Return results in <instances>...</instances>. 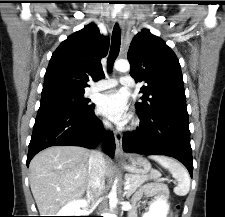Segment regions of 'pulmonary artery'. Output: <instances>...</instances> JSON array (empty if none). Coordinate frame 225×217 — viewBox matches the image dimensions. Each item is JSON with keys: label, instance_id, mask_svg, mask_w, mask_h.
<instances>
[{"label": "pulmonary artery", "instance_id": "1", "mask_svg": "<svg viewBox=\"0 0 225 217\" xmlns=\"http://www.w3.org/2000/svg\"><path fill=\"white\" fill-rule=\"evenodd\" d=\"M118 83L128 87L133 85V82L131 78L129 77H121L119 81H117L116 79H106L101 81L99 84L95 85L92 88V91L97 92V91L107 90V89L115 87Z\"/></svg>", "mask_w": 225, "mask_h": 217}]
</instances>
